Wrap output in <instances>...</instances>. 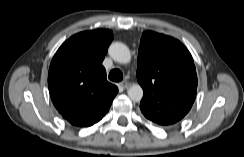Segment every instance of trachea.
I'll list each match as a JSON object with an SVG mask.
<instances>
[{"label": "trachea", "instance_id": "3493384b", "mask_svg": "<svg viewBox=\"0 0 244 157\" xmlns=\"http://www.w3.org/2000/svg\"><path fill=\"white\" fill-rule=\"evenodd\" d=\"M109 79L113 82H120L123 79V74L121 70L117 68L111 70L109 73Z\"/></svg>", "mask_w": 244, "mask_h": 157}]
</instances>
